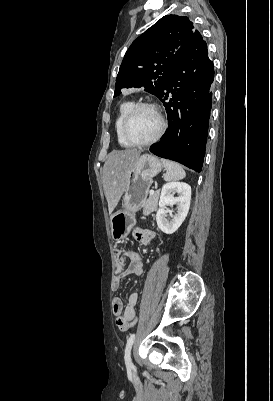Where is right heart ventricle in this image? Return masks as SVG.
Masks as SVG:
<instances>
[{"label":"right heart ventricle","instance_id":"obj_1","mask_svg":"<svg viewBox=\"0 0 273 401\" xmlns=\"http://www.w3.org/2000/svg\"><path fill=\"white\" fill-rule=\"evenodd\" d=\"M135 103L131 100L122 101L117 107V113L114 121V129L117 136L118 144L123 148H131L130 144H128L121 136V124L128 114V112L132 109Z\"/></svg>","mask_w":273,"mask_h":401}]
</instances>
